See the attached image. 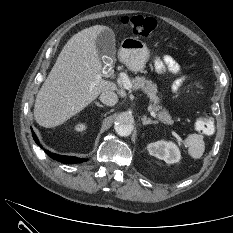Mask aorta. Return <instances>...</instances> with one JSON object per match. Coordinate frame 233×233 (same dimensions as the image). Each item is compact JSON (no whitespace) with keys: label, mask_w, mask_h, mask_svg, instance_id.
Returning a JSON list of instances; mask_svg holds the SVG:
<instances>
[{"label":"aorta","mask_w":233,"mask_h":233,"mask_svg":"<svg viewBox=\"0 0 233 233\" xmlns=\"http://www.w3.org/2000/svg\"><path fill=\"white\" fill-rule=\"evenodd\" d=\"M134 118L128 112H122L116 117L115 131L120 136H129L133 131Z\"/></svg>","instance_id":"762f6f07"}]
</instances>
